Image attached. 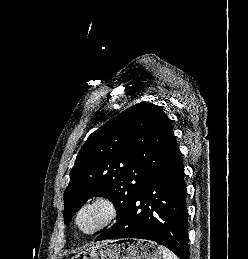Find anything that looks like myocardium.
<instances>
[{"mask_svg":"<svg viewBox=\"0 0 248 259\" xmlns=\"http://www.w3.org/2000/svg\"><path fill=\"white\" fill-rule=\"evenodd\" d=\"M94 206L103 207L106 211V215L102 220V222L99 225H97L95 228L91 230H83L80 227L79 218L86 209ZM117 215H118V208L115 202L107 196L98 195L86 200L78 207L74 215V226L80 234L85 236H91L108 227L116 219Z\"/></svg>","mask_w":248,"mask_h":259,"instance_id":"1","label":"myocardium"}]
</instances>
